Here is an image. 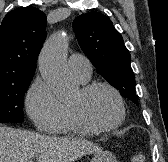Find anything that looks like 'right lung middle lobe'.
I'll list each match as a JSON object with an SVG mask.
<instances>
[{"label":"right lung middle lobe","instance_id":"1","mask_svg":"<svg viewBox=\"0 0 168 162\" xmlns=\"http://www.w3.org/2000/svg\"><path fill=\"white\" fill-rule=\"evenodd\" d=\"M34 74L0 81V123L23 122V98Z\"/></svg>","mask_w":168,"mask_h":162}]
</instances>
